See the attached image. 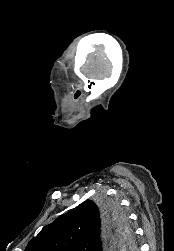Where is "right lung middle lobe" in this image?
Masks as SVG:
<instances>
[{"instance_id": "dd1d6c3e", "label": "right lung middle lobe", "mask_w": 174, "mask_h": 251, "mask_svg": "<svg viewBox=\"0 0 174 251\" xmlns=\"http://www.w3.org/2000/svg\"><path fill=\"white\" fill-rule=\"evenodd\" d=\"M97 206L106 220L114 226L115 233L122 239L120 250H133L135 248L133 230L119 202L102 196L97 200Z\"/></svg>"}]
</instances>
